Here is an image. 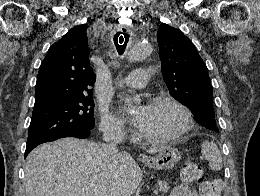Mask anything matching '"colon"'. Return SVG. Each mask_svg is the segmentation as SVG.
<instances>
[{
	"label": "colon",
	"instance_id": "1",
	"mask_svg": "<svg viewBox=\"0 0 260 196\" xmlns=\"http://www.w3.org/2000/svg\"><path fill=\"white\" fill-rule=\"evenodd\" d=\"M180 177L182 183L186 186H202L207 182L199 164L191 160H186L183 162ZM217 193L221 195V192Z\"/></svg>",
	"mask_w": 260,
	"mask_h": 196
}]
</instances>
